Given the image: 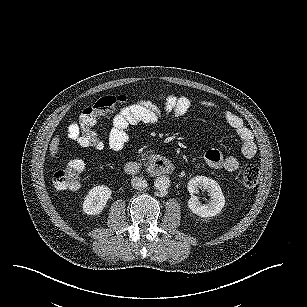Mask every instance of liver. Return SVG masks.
Here are the masks:
<instances>
[{
    "mask_svg": "<svg viewBox=\"0 0 307 307\" xmlns=\"http://www.w3.org/2000/svg\"><path fill=\"white\" fill-rule=\"evenodd\" d=\"M59 138L55 137L52 139L51 143H50V147L49 150L51 151V155L54 157L57 150H58V145H59Z\"/></svg>",
    "mask_w": 307,
    "mask_h": 307,
    "instance_id": "1",
    "label": "liver"
}]
</instances>
